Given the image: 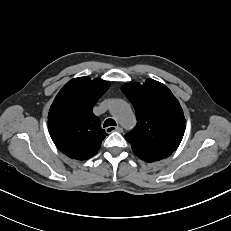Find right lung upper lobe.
<instances>
[{
	"mask_svg": "<svg viewBox=\"0 0 231 231\" xmlns=\"http://www.w3.org/2000/svg\"><path fill=\"white\" fill-rule=\"evenodd\" d=\"M110 83L99 78L79 77L60 90L51 105L48 129L57 148L72 159L86 160L100 149L107 135L92 112Z\"/></svg>",
	"mask_w": 231,
	"mask_h": 231,
	"instance_id": "obj_1",
	"label": "right lung upper lobe"
}]
</instances>
